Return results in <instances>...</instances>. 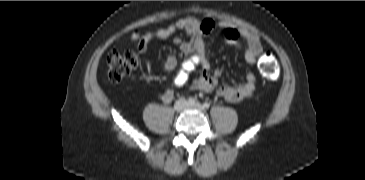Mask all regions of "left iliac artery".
Wrapping results in <instances>:
<instances>
[{"label": "left iliac artery", "mask_w": 365, "mask_h": 180, "mask_svg": "<svg viewBox=\"0 0 365 180\" xmlns=\"http://www.w3.org/2000/svg\"><path fill=\"white\" fill-rule=\"evenodd\" d=\"M203 106H204V108L208 109V108L210 107V103L205 102V103L203 104Z\"/></svg>", "instance_id": "obj_1"}]
</instances>
